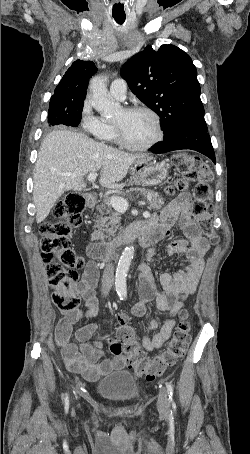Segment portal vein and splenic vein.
Here are the masks:
<instances>
[{
  "label": "portal vein and splenic vein",
  "mask_w": 250,
  "mask_h": 454,
  "mask_svg": "<svg viewBox=\"0 0 250 454\" xmlns=\"http://www.w3.org/2000/svg\"><path fill=\"white\" fill-rule=\"evenodd\" d=\"M97 174L95 172L89 173L88 181L93 183L96 180ZM109 204L119 213H124L128 209V202L126 199L119 196H112L108 199Z\"/></svg>",
  "instance_id": "obj_1"
}]
</instances>
